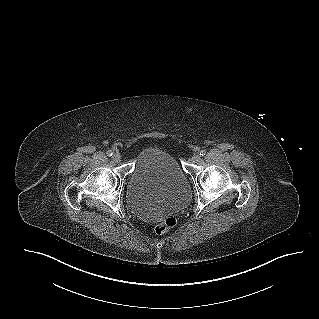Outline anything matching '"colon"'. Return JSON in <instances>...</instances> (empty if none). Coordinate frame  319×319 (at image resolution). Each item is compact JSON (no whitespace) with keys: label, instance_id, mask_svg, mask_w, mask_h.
Returning <instances> with one entry per match:
<instances>
[{"label":"colon","instance_id":"colon-1","mask_svg":"<svg viewBox=\"0 0 319 319\" xmlns=\"http://www.w3.org/2000/svg\"><path fill=\"white\" fill-rule=\"evenodd\" d=\"M176 222V218L170 215L156 225L155 232L157 234H164L173 228L176 225Z\"/></svg>","mask_w":319,"mask_h":319}]
</instances>
